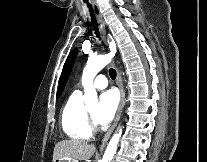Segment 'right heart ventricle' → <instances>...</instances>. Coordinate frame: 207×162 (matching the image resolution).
Here are the masks:
<instances>
[{
  "label": "right heart ventricle",
  "mask_w": 207,
  "mask_h": 162,
  "mask_svg": "<svg viewBox=\"0 0 207 162\" xmlns=\"http://www.w3.org/2000/svg\"><path fill=\"white\" fill-rule=\"evenodd\" d=\"M64 133L76 140H88L92 136L86 108L79 91H74L67 99L60 117Z\"/></svg>",
  "instance_id": "1"
}]
</instances>
